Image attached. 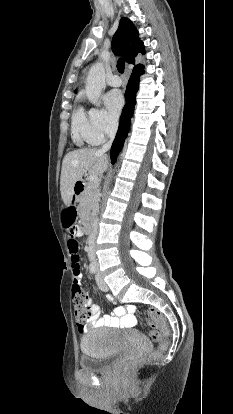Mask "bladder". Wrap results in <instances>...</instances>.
Instances as JSON below:
<instances>
[{"instance_id": "bladder-1", "label": "bladder", "mask_w": 233, "mask_h": 414, "mask_svg": "<svg viewBox=\"0 0 233 414\" xmlns=\"http://www.w3.org/2000/svg\"><path fill=\"white\" fill-rule=\"evenodd\" d=\"M131 332L141 345L149 347L146 337L138 331ZM81 350L79 367L89 372H101L109 369L121 351L116 344L115 333L105 329L88 331L82 338Z\"/></svg>"}]
</instances>
